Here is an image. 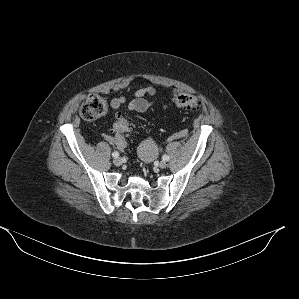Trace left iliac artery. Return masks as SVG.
I'll return each mask as SVG.
<instances>
[{
    "label": "left iliac artery",
    "mask_w": 299,
    "mask_h": 299,
    "mask_svg": "<svg viewBox=\"0 0 299 299\" xmlns=\"http://www.w3.org/2000/svg\"><path fill=\"white\" fill-rule=\"evenodd\" d=\"M162 159H163L164 161H168V160H169V156H168V155H163V156H162Z\"/></svg>",
    "instance_id": "left-iliac-artery-1"
}]
</instances>
